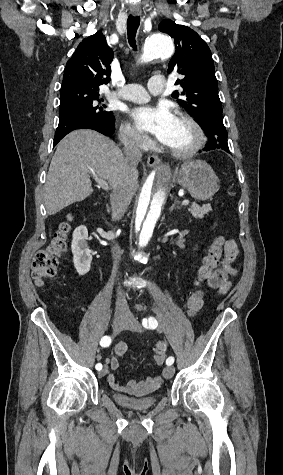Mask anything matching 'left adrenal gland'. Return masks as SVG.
Returning <instances> with one entry per match:
<instances>
[{
    "mask_svg": "<svg viewBox=\"0 0 283 475\" xmlns=\"http://www.w3.org/2000/svg\"><path fill=\"white\" fill-rule=\"evenodd\" d=\"M178 200H174V204H172L171 208H169V212H173L175 208H180V206H177Z\"/></svg>",
    "mask_w": 283,
    "mask_h": 475,
    "instance_id": "a2214340",
    "label": "left adrenal gland"
}]
</instances>
